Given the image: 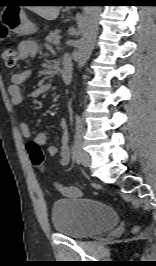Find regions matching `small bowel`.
Returning <instances> with one entry per match:
<instances>
[{"label":"small bowel","mask_w":156,"mask_h":266,"mask_svg":"<svg viewBox=\"0 0 156 266\" xmlns=\"http://www.w3.org/2000/svg\"><path fill=\"white\" fill-rule=\"evenodd\" d=\"M38 46L32 40H24L21 41L18 45V55L20 59L25 60L30 57H34L37 55ZM31 72L29 70H24L20 73H17L11 77V83L8 88L9 95L11 97V102L13 105H21L23 103V93L21 89V84L30 77ZM20 131L25 138H31L32 132L27 123L21 122ZM60 128L62 134L56 135L50 133L48 131L42 130L38 132L33 137V142L36 144L44 145L48 142H60V148L58 149L56 146L52 145L49 147L48 152L51 156L56 155L59 152L60 156V164L67 165L71 158V152L69 147V133H68V123L65 119L61 120ZM57 189L65 196L71 198H77L81 196V191L74 186H63L61 184H57Z\"/></svg>","instance_id":"1"}]
</instances>
